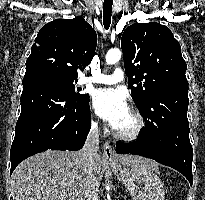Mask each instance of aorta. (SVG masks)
Listing matches in <instances>:
<instances>
[{
    "mask_svg": "<svg viewBox=\"0 0 205 200\" xmlns=\"http://www.w3.org/2000/svg\"><path fill=\"white\" fill-rule=\"evenodd\" d=\"M121 51L118 48L110 49L105 57V61L108 65H113L117 63L121 58Z\"/></svg>",
    "mask_w": 205,
    "mask_h": 200,
    "instance_id": "762f6f07",
    "label": "aorta"
}]
</instances>
